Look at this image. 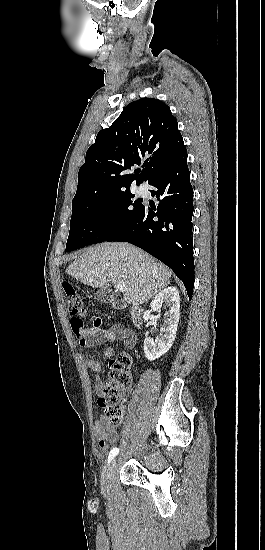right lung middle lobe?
<instances>
[{
  "mask_svg": "<svg viewBox=\"0 0 265 550\" xmlns=\"http://www.w3.org/2000/svg\"><path fill=\"white\" fill-rule=\"evenodd\" d=\"M130 190L90 199L74 197L66 251L106 241L143 209Z\"/></svg>",
  "mask_w": 265,
  "mask_h": 550,
  "instance_id": "dd1d6c3e",
  "label": "right lung middle lobe"
}]
</instances>
